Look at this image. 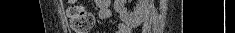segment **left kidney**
<instances>
[{
	"instance_id": "5707ae66",
	"label": "left kidney",
	"mask_w": 235,
	"mask_h": 33,
	"mask_svg": "<svg viewBox=\"0 0 235 33\" xmlns=\"http://www.w3.org/2000/svg\"><path fill=\"white\" fill-rule=\"evenodd\" d=\"M149 0H137L136 7L129 12L125 8L126 0H114V10L119 14L120 19L127 25H138L143 19Z\"/></svg>"
}]
</instances>
